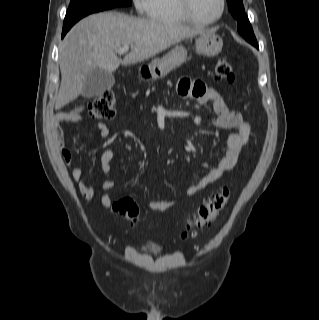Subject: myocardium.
<instances>
[{"label":"myocardium","mask_w":319,"mask_h":320,"mask_svg":"<svg viewBox=\"0 0 319 320\" xmlns=\"http://www.w3.org/2000/svg\"><path fill=\"white\" fill-rule=\"evenodd\" d=\"M179 4H180V8L183 12V14L186 16V18L193 24H197V25H202V26H206V25H212V24H216L218 23L226 10V0H220V11L219 14L210 20H203L198 18L193 10V6H192V0H179Z\"/></svg>","instance_id":"f54148a6"}]
</instances>
